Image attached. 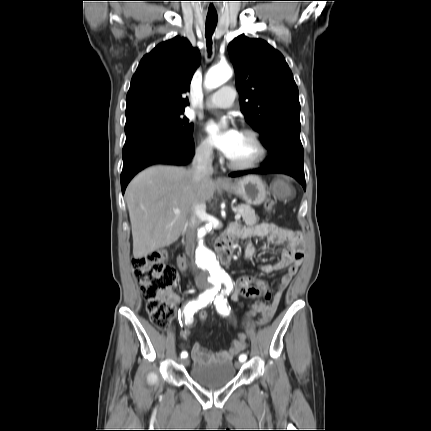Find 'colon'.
Here are the masks:
<instances>
[{
	"label": "colon",
	"mask_w": 431,
	"mask_h": 431,
	"mask_svg": "<svg viewBox=\"0 0 431 431\" xmlns=\"http://www.w3.org/2000/svg\"><path fill=\"white\" fill-rule=\"evenodd\" d=\"M274 201L267 200L265 209L272 212ZM134 275L137 279L141 293L146 300V309L150 321L159 329H166L172 316V308L168 299V292L177 284V271L174 266L167 263V255L164 252H152L142 257H136L132 261ZM257 310H251L248 316L256 319ZM208 309H198V318L201 325L209 322ZM196 325V320H190L180 329V340L187 342L190 339L192 328ZM246 339V332L243 329L238 331V342Z\"/></svg>",
	"instance_id": "colon-1"
}]
</instances>
